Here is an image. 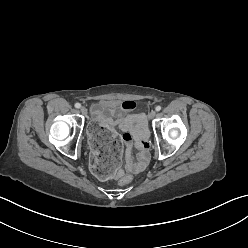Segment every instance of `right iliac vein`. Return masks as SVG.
<instances>
[{
    "label": "right iliac vein",
    "mask_w": 248,
    "mask_h": 248,
    "mask_svg": "<svg viewBox=\"0 0 248 248\" xmlns=\"http://www.w3.org/2000/svg\"><path fill=\"white\" fill-rule=\"evenodd\" d=\"M80 111H81V113H82L83 115H86V114H87V109H86V107H81Z\"/></svg>",
    "instance_id": "1"
}]
</instances>
